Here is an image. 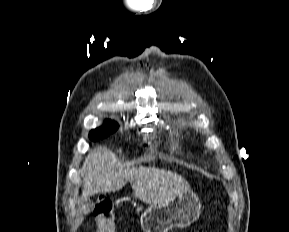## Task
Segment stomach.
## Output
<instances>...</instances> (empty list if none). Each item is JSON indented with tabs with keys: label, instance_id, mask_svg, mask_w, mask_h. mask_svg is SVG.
Masks as SVG:
<instances>
[{
	"label": "stomach",
	"instance_id": "obj_1",
	"mask_svg": "<svg viewBox=\"0 0 289 232\" xmlns=\"http://www.w3.org/2000/svg\"><path fill=\"white\" fill-rule=\"evenodd\" d=\"M141 227L144 232H168L172 228H185L199 218L201 203L198 196L189 191L166 201L151 204L147 208L139 206Z\"/></svg>",
	"mask_w": 289,
	"mask_h": 232
}]
</instances>
